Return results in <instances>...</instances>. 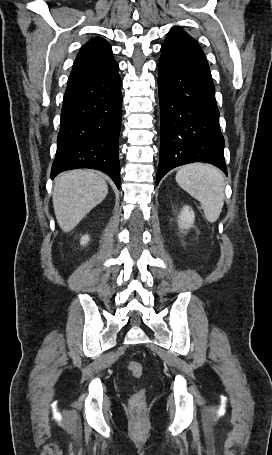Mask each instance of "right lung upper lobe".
I'll return each mask as SVG.
<instances>
[{
	"mask_svg": "<svg viewBox=\"0 0 272 455\" xmlns=\"http://www.w3.org/2000/svg\"><path fill=\"white\" fill-rule=\"evenodd\" d=\"M118 69L109 43L100 37L94 38L81 47L68 78L67 87L107 76Z\"/></svg>",
	"mask_w": 272,
	"mask_h": 455,
	"instance_id": "right-lung-upper-lobe-1",
	"label": "right lung upper lobe"
}]
</instances>
